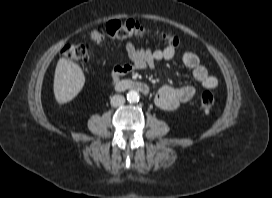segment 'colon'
Wrapping results in <instances>:
<instances>
[{
	"mask_svg": "<svg viewBox=\"0 0 272 198\" xmlns=\"http://www.w3.org/2000/svg\"><path fill=\"white\" fill-rule=\"evenodd\" d=\"M152 33L149 29L135 20H110L89 32V37L94 43H101L107 38L123 39L128 37L145 38ZM155 35L166 40L170 46L180 45V39L174 34L157 30ZM61 54L72 60L86 61L92 55V49L87 44H68L61 50ZM215 103L213 93L206 91L201 96L200 106L204 111H210Z\"/></svg>",
	"mask_w": 272,
	"mask_h": 198,
	"instance_id": "1",
	"label": "colon"
}]
</instances>
